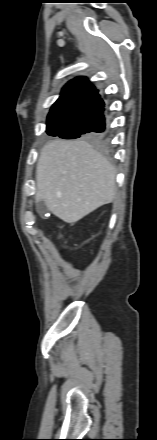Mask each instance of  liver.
<instances>
[{
  "mask_svg": "<svg viewBox=\"0 0 157 440\" xmlns=\"http://www.w3.org/2000/svg\"><path fill=\"white\" fill-rule=\"evenodd\" d=\"M114 166L89 143L55 140L41 150L36 200L73 224L116 197Z\"/></svg>",
  "mask_w": 157,
  "mask_h": 440,
  "instance_id": "1",
  "label": "liver"
}]
</instances>
